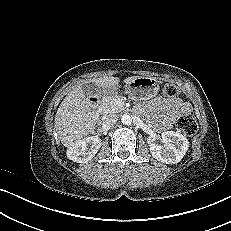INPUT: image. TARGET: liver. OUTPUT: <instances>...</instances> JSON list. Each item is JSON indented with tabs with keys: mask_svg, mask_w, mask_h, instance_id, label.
Wrapping results in <instances>:
<instances>
[{
	"mask_svg": "<svg viewBox=\"0 0 231 231\" xmlns=\"http://www.w3.org/2000/svg\"><path fill=\"white\" fill-rule=\"evenodd\" d=\"M139 76H131L124 79L129 84ZM93 82L100 88L107 90L117 86L120 82L118 77H99L78 84L71 90L61 102L54 120V127L58 138L65 147H70L77 141L84 139L94 132L98 114L91 111V104L82 91L85 83Z\"/></svg>",
	"mask_w": 231,
	"mask_h": 231,
	"instance_id": "6515ba94",
	"label": "liver"
}]
</instances>
